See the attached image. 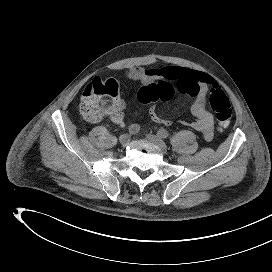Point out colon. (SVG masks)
<instances>
[{"label":"colon","mask_w":272,"mask_h":272,"mask_svg":"<svg viewBox=\"0 0 272 272\" xmlns=\"http://www.w3.org/2000/svg\"><path fill=\"white\" fill-rule=\"evenodd\" d=\"M173 83L160 80L149 83L139 90L137 98L141 103L167 101L175 93ZM209 103L215 113L219 130H225L232 119L230 101L223 90L214 85L209 91ZM119 98V86L113 79L94 78L84 89L80 100V112L89 122H96L105 114H109Z\"/></svg>","instance_id":"colon-1"}]
</instances>
